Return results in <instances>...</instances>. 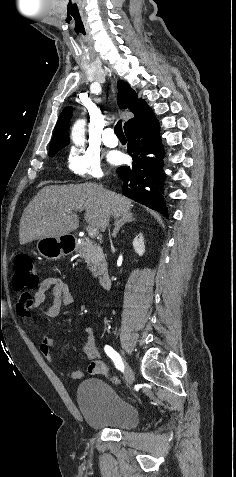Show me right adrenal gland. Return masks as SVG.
<instances>
[{"mask_svg":"<svg viewBox=\"0 0 236 477\" xmlns=\"http://www.w3.org/2000/svg\"><path fill=\"white\" fill-rule=\"evenodd\" d=\"M134 220L135 217H133V214L130 211L123 215L119 220H115V228L113 230L112 237H116L117 233L126 222H133Z\"/></svg>","mask_w":236,"mask_h":477,"instance_id":"obj_1","label":"right adrenal gland"}]
</instances>
